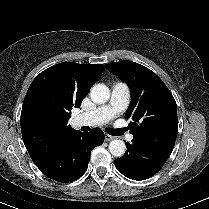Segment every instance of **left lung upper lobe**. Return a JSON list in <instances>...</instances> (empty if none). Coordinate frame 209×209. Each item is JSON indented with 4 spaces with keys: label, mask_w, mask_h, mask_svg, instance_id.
<instances>
[{
    "label": "left lung upper lobe",
    "mask_w": 209,
    "mask_h": 209,
    "mask_svg": "<svg viewBox=\"0 0 209 209\" xmlns=\"http://www.w3.org/2000/svg\"><path fill=\"white\" fill-rule=\"evenodd\" d=\"M108 71L126 82L132 100L126 112L131 134L152 142L175 143L177 106L164 82L150 69L128 60L105 64Z\"/></svg>",
    "instance_id": "obj_1"
}]
</instances>
